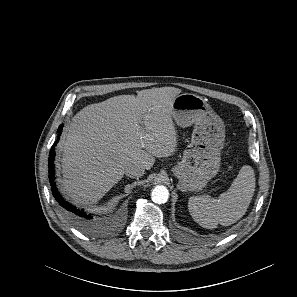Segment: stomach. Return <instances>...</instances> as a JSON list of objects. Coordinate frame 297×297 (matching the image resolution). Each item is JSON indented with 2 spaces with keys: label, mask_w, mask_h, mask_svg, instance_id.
I'll list each match as a JSON object with an SVG mask.
<instances>
[{
  "label": "stomach",
  "mask_w": 297,
  "mask_h": 297,
  "mask_svg": "<svg viewBox=\"0 0 297 297\" xmlns=\"http://www.w3.org/2000/svg\"><path fill=\"white\" fill-rule=\"evenodd\" d=\"M172 116L180 127L194 125L191 143L184 150L182 160L172 168L178 178V189L201 190L219 171L224 123L202 97L191 93L174 98Z\"/></svg>",
  "instance_id": "stomach-1"
}]
</instances>
